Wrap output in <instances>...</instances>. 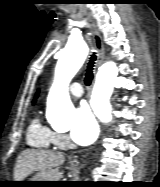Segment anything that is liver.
<instances>
[{
	"label": "liver",
	"instance_id": "1",
	"mask_svg": "<svg viewBox=\"0 0 160 187\" xmlns=\"http://www.w3.org/2000/svg\"><path fill=\"white\" fill-rule=\"evenodd\" d=\"M65 156L60 152L27 149L18 156L15 169V181H23L35 171L45 172L62 165Z\"/></svg>",
	"mask_w": 160,
	"mask_h": 187
}]
</instances>
